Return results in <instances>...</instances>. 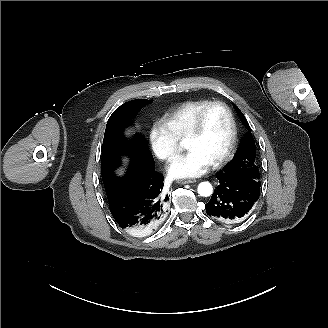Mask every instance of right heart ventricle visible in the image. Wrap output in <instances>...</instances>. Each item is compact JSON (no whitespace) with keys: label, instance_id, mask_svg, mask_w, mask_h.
Wrapping results in <instances>:
<instances>
[{"label":"right heart ventricle","instance_id":"1","mask_svg":"<svg viewBox=\"0 0 328 328\" xmlns=\"http://www.w3.org/2000/svg\"><path fill=\"white\" fill-rule=\"evenodd\" d=\"M209 100H191L165 112L159 119L177 142H182L195 117Z\"/></svg>","mask_w":328,"mask_h":328}]
</instances>
